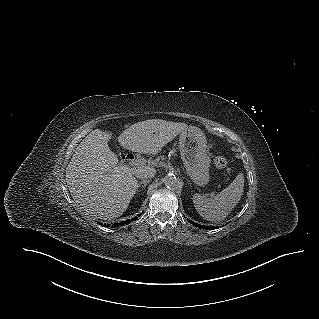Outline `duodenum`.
<instances>
[{
  "instance_id": "obj_1",
  "label": "duodenum",
  "mask_w": 319,
  "mask_h": 319,
  "mask_svg": "<svg viewBox=\"0 0 319 319\" xmlns=\"http://www.w3.org/2000/svg\"><path fill=\"white\" fill-rule=\"evenodd\" d=\"M125 160L127 162H134L136 160L135 156L133 154H126Z\"/></svg>"
}]
</instances>
